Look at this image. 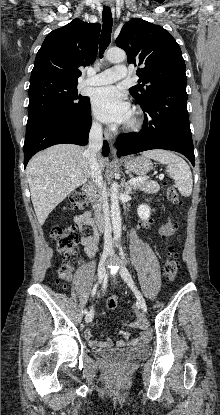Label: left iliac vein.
I'll list each match as a JSON object with an SVG mask.
<instances>
[{"mask_svg":"<svg viewBox=\"0 0 220 415\" xmlns=\"http://www.w3.org/2000/svg\"><path fill=\"white\" fill-rule=\"evenodd\" d=\"M113 255H116V254L113 252ZM119 273H120L121 277L124 279V281L131 288V290L133 291V293L135 294V297L137 299L138 305L140 306V308L142 309V311L144 313H146L147 312V304H146V301H145L143 295L141 294L140 290L138 289L136 283L134 282V280H133L131 274L129 273V271L126 268L122 267V268H120Z\"/></svg>","mask_w":220,"mask_h":415,"instance_id":"4c4485c4","label":"left iliac vein"}]
</instances>
